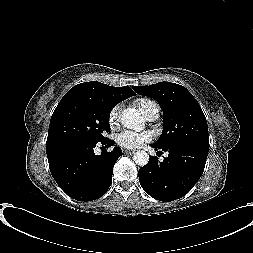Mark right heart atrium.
<instances>
[{"mask_svg": "<svg viewBox=\"0 0 253 253\" xmlns=\"http://www.w3.org/2000/svg\"><path fill=\"white\" fill-rule=\"evenodd\" d=\"M120 105L114 106L109 113V123L111 125L116 124L119 118Z\"/></svg>", "mask_w": 253, "mask_h": 253, "instance_id": "d8ad5b80", "label": "right heart atrium"}]
</instances>
